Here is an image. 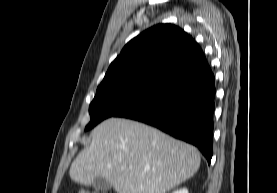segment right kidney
I'll use <instances>...</instances> for the list:
<instances>
[{"mask_svg": "<svg viewBox=\"0 0 277 193\" xmlns=\"http://www.w3.org/2000/svg\"><path fill=\"white\" fill-rule=\"evenodd\" d=\"M172 193H189V192H188V190L186 188H183V189H179V190L173 191Z\"/></svg>", "mask_w": 277, "mask_h": 193, "instance_id": "obj_1", "label": "right kidney"}]
</instances>
